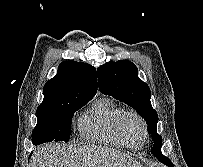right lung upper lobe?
<instances>
[{"label":"right lung upper lobe","instance_id":"1","mask_svg":"<svg viewBox=\"0 0 203 167\" xmlns=\"http://www.w3.org/2000/svg\"><path fill=\"white\" fill-rule=\"evenodd\" d=\"M97 92L96 69L83 62L60 63L56 76L46 82L38 108L55 107L74 99L93 98Z\"/></svg>","mask_w":203,"mask_h":167}]
</instances>
